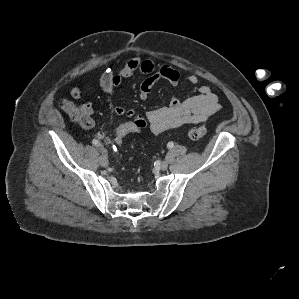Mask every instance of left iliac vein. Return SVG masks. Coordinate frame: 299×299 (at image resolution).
Here are the masks:
<instances>
[{
  "instance_id": "obj_1",
  "label": "left iliac vein",
  "mask_w": 299,
  "mask_h": 299,
  "mask_svg": "<svg viewBox=\"0 0 299 299\" xmlns=\"http://www.w3.org/2000/svg\"><path fill=\"white\" fill-rule=\"evenodd\" d=\"M159 168H160V170H162V171L167 170V168H168V163H167L166 161H162V162H160V164H159Z\"/></svg>"
}]
</instances>
